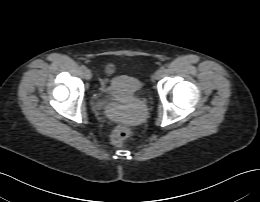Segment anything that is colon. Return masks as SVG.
I'll return each instance as SVG.
<instances>
[{
  "label": "colon",
  "instance_id": "colon-1",
  "mask_svg": "<svg viewBox=\"0 0 260 202\" xmlns=\"http://www.w3.org/2000/svg\"><path fill=\"white\" fill-rule=\"evenodd\" d=\"M129 136V131L125 126H118L112 133L111 140L112 143L117 146L121 147L126 139Z\"/></svg>",
  "mask_w": 260,
  "mask_h": 202
}]
</instances>
